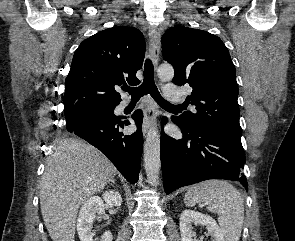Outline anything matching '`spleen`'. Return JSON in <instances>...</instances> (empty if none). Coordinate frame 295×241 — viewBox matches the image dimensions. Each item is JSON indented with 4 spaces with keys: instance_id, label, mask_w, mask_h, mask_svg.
<instances>
[{
    "instance_id": "3e777b00",
    "label": "spleen",
    "mask_w": 295,
    "mask_h": 241,
    "mask_svg": "<svg viewBox=\"0 0 295 241\" xmlns=\"http://www.w3.org/2000/svg\"><path fill=\"white\" fill-rule=\"evenodd\" d=\"M187 206L202 202L208 211L218 214L225 241H239L244 220L240 192L224 180H208L191 186L185 194Z\"/></svg>"
}]
</instances>
